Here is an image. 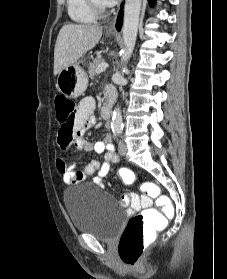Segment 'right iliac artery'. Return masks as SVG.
Segmentation results:
<instances>
[{
	"instance_id": "82829eb1",
	"label": "right iliac artery",
	"mask_w": 227,
	"mask_h": 279,
	"mask_svg": "<svg viewBox=\"0 0 227 279\" xmlns=\"http://www.w3.org/2000/svg\"><path fill=\"white\" fill-rule=\"evenodd\" d=\"M118 134H119V131H115L114 132V138H117Z\"/></svg>"
}]
</instances>
